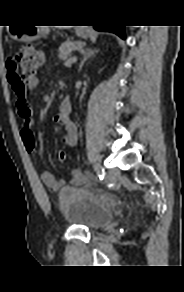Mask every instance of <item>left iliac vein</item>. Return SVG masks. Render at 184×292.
Segmentation results:
<instances>
[{"mask_svg": "<svg viewBox=\"0 0 184 292\" xmlns=\"http://www.w3.org/2000/svg\"><path fill=\"white\" fill-rule=\"evenodd\" d=\"M119 176H120V171L118 169H116V168L111 169L108 172V179L110 181H115Z\"/></svg>", "mask_w": 184, "mask_h": 292, "instance_id": "1", "label": "left iliac vein"}]
</instances>
